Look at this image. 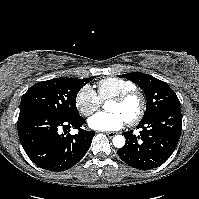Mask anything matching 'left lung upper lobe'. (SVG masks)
<instances>
[{
    "label": "left lung upper lobe",
    "instance_id": "1",
    "mask_svg": "<svg viewBox=\"0 0 199 199\" xmlns=\"http://www.w3.org/2000/svg\"><path fill=\"white\" fill-rule=\"evenodd\" d=\"M120 77L131 80L145 93L147 107L141 121L147 120L165 109L180 107L175 92L165 82L141 72H132L120 75Z\"/></svg>",
    "mask_w": 199,
    "mask_h": 199
}]
</instances>
